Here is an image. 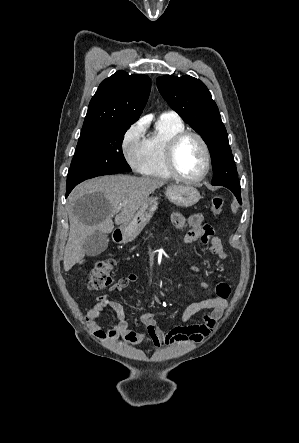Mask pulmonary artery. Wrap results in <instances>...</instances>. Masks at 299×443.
Returning a JSON list of instances; mask_svg holds the SVG:
<instances>
[{"instance_id":"pulmonary-artery-1","label":"pulmonary artery","mask_w":299,"mask_h":443,"mask_svg":"<svg viewBox=\"0 0 299 443\" xmlns=\"http://www.w3.org/2000/svg\"><path fill=\"white\" fill-rule=\"evenodd\" d=\"M161 116H172V117H177V114L175 112L172 111H168V112H163L161 114Z\"/></svg>"}]
</instances>
